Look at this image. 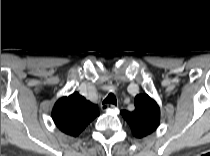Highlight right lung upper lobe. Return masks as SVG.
Segmentation results:
<instances>
[{
	"label": "right lung upper lobe",
	"mask_w": 210,
	"mask_h": 156,
	"mask_svg": "<svg viewBox=\"0 0 210 156\" xmlns=\"http://www.w3.org/2000/svg\"><path fill=\"white\" fill-rule=\"evenodd\" d=\"M97 116H99L98 106L77 92L60 98L52 110L56 126L63 133L73 137H77Z\"/></svg>",
	"instance_id": "right-lung-upper-lobe-1"
}]
</instances>
